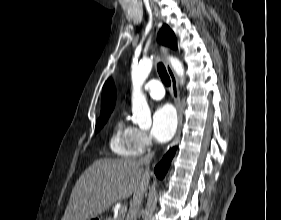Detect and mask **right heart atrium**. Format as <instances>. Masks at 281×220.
<instances>
[{
    "instance_id": "1",
    "label": "right heart atrium",
    "mask_w": 281,
    "mask_h": 220,
    "mask_svg": "<svg viewBox=\"0 0 281 220\" xmlns=\"http://www.w3.org/2000/svg\"><path fill=\"white\" fill-rule=\"evenodd\" d=\"M136 143L141 152L148 150L153 146L150 136L144 130L140 129H137L136 131Z\"/></svg>"
}]
</instances>
